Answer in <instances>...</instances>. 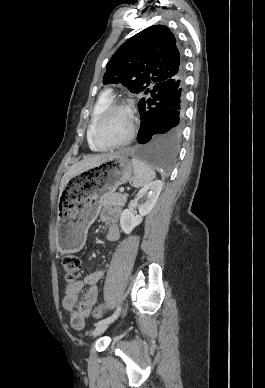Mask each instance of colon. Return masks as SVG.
<instances>
[{
	"label": "colon",
	"mask_w": 265,
	"mask_h": 388,
	"mask_svg": "<svg viewBox=\"0 0 265 388\" xmlns=\"http://www.w3.org/2000/svg\"><path fill=\"white\" fill-rule=\"evenodd\" d=\"M62 267L64 270L65 280L71 284L75 280V277L81 268L80 258L75 254H68L62 259ZM91 312L93 317L99 318L104 315L105 310L103 306H96Z\"/></svg>",
	"instance_id": "obj_1"
}]
</instances>
